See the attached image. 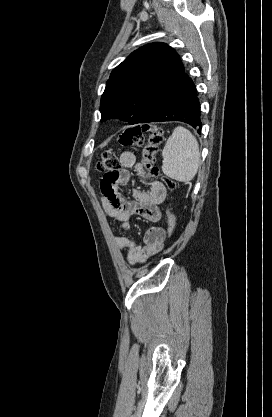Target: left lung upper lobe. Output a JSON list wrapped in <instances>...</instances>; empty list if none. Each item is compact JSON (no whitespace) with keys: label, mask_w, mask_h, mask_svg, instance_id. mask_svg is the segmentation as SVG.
I'll use <instances>...</instances> for the list:
<instances>
[{"label":"left lung upper lobe","mask_w":272,"mask_h":417,"mask_svg":"<svg viewBox=\"0 0 272 417\" xmlns=\"http://www.w3.org/2000/svg\"><path fill=\"white\" fill-rule=\"evenodd\" d=\"M183 73L179 55L165 43H150L135 50L112 71L106 83L101 121L116 118L141 123Z\"/></svg>","instance_id":"obj_1"}]
</instances>
